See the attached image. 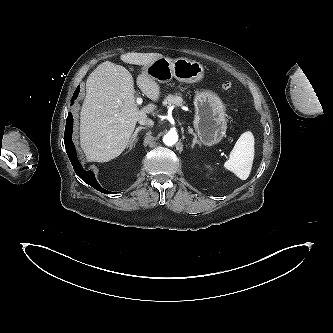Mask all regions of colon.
<instances>
[{"label":"colon","mask_w":333,"mask_h":333,"mask_svg":"<svg viewBox=\"0 0 333 333\" xmlns=\"http://www.w3.org/2000/svg\"><path fill=\"white\" fill-rule=\"evenodd\" d=\"M223 87H224L225 89H229V88L231 87V83H230V82H226V83L223 85Z\"/></svg>","instance_id":"obj_1"}]
</instances>
